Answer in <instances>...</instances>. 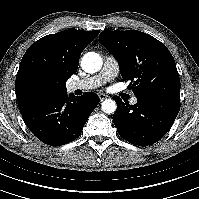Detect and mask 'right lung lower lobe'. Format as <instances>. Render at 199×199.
Listing matches in <instances>:
<instances>
[{
  "label": "right lung lower lobe",
  "instance_id": "obj_1",
  "mask_svg": "<svg viewBox=\"0 0 199 199\" xmlns=\"http://www.w3.org/2000/svg\"><path fill=\"white\" fill-rule=\"evenodd\" d=\"M99 103L93 92L69 97L64 94L27 104L20 112L30 131L47 145L60 146L75 140Z\"/></svg>",
  "mask_w": 199,
  "mask_h": 199
}]
</instances>
